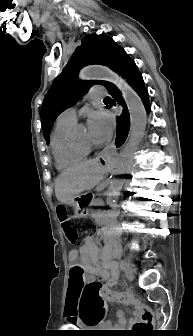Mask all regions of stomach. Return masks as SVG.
<instances>
[{
  "label": "stomach",
  "mask_w": 193,
  "mask_h": 336,
  "mask_svg": "<svg viewBox=\"0 0 193 336\" xmlns=\"http://www.w3.org/2000/svg\"><path fill=\"white\" fill-rule=\"evenodd\" d=\"M109 160L110 158H103L100 163L104 165ZM71 204L79 216H87L89 214L87 206L90 204V198L88 197V194H81L74 197Z\"/></svg>",
  "instance_id": "stomach-1"
}]
</instances>
